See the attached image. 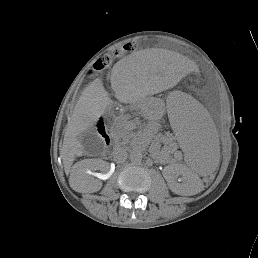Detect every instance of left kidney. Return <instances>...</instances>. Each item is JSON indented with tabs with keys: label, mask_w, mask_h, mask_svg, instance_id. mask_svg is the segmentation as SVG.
Wrapping results in <instances>:
<instances>
[{
	"label": "left kidney",
	"mask_w": 258,
	"mask_h": 258,
	"mask_svg": "<svg viewBox=\"0 0 258 258\" xmlns=\"http://www.w3.org/2000/svg\"><path fill=\"white\" fill-rule=\"evenodd\" d=\"M184 179H185V183L184 184H180V183H176L173 186V192L178 194V195H194L195 193L192 191L191 188V175L188 171H186L184 173Z\"/></svg>",
	"instance_id": "obj_1"
}]
</instances>
